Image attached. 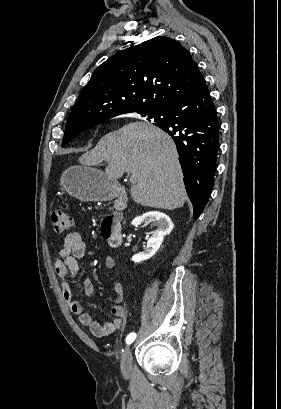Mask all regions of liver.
Here are the masks:
<instances>
[{
  "label": "liver",
  "instance_id": "6515ba94",
  "mask_svg": "<svg viewBox=\"0 0 281 409\" xmlns=\"http://www.w3.org/2000/svg\"><path fill=\"white\" fill-rule=\"evenodd\" d=\"M78 160L87 166L106 160L105 174L112 180L129 172L130 194L143 207L168 211L184 207L186 190L175 144L152 122L137 120L108 132Z\"/></svg>",
  "mask_w": 281,
  "mask_h": 409
}]
</instances>
